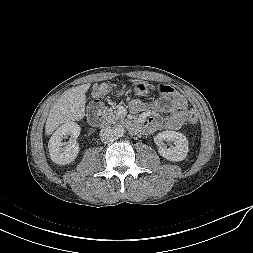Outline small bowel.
I'll return each mask as SVG.
<instances>
[{
	"label": "small bowel",
	"instance_id": "small-bowel-1",
	"mask_svg": "<svg viewBox=\"0 0 253 253\" xmlns=\"http://www.w3.org/2000/svg\"><path fill=\"white\" fill-rule=\"evenodd\" d=\"M154 110L166 113L169 115L166 121H159L155 118H142L138 122V126L144 129L147 133H154L162 129L177 130L187 119L188 104L186 99L179 93H174L171 96H164L151 105ZM148 106L140 100H132L130 102V110L133 113H140Z\"/></svg>",
	"mask_w": 253,
	"mask_h": 253
}]
</instances>
